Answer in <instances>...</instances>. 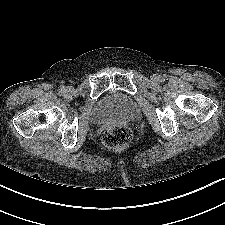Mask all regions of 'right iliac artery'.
I'll return each mask as SVG.
<instances>
[{
    "label": "right iliac artery",
    "instance_id": "1",
    "mask_svg": "<svg viewBox=\"0 0 225 225\" xmlns=\"http://www.w3.org/2000/svg\"><path fill=\"white\" fill-rule=\"evenodd\" d=\"M60 90L63 91L64 90V86H62Z\"/></svg>",
    "mask_w": 225,
    "mask_h": 225
}]
</instances>
